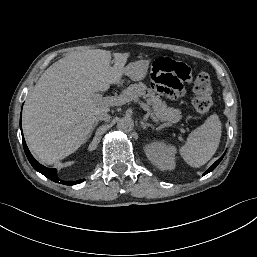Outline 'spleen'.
Wrapping results in <instances>:
<instances>
[{"instance_id":"3e777b00","label":"spleen","mask_w":257,"mask_h":257,"mask_svg":"<svg viewBox=\"0 0 257 257\" xmlns=\"http://www.w3.org/2000/svg\"><path fill=\"white\" fill-rule=\"evenodd\" d=\"M222 125L217 114L209 116L205 122L193 130L179 151L191 167L206 164L215 154L221 138Z\"/></svg>"}]
</instances>
